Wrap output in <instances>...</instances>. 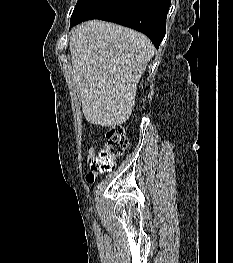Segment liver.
Instances as JSON below:
<instances>
[{
	"label": "liver",
	"instance_id": "liver-1",
	"mask_svg": "<svg viewBox=\"0 0 233 263\" xmlns=\"http://www.w3.org/2000/svg\"><path fill=\"white\" fill-rule=\"evenodd\" d=\"M70 52L86 120L104 127L125 123L155 52L151 41L133 29L92 20L74 28Z\"/></svg>",
	"mask_w": 233,
	"mask_h": 263
}]
</instances>
